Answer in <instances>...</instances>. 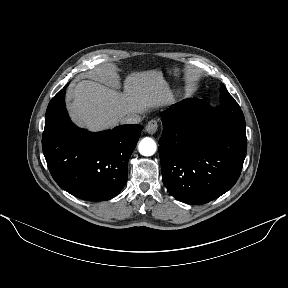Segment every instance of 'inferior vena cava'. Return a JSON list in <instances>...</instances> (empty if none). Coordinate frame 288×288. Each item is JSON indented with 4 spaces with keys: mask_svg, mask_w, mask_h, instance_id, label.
Instances as JSON below:
<instances>
[{
    "mask_svg": "<svg viewBox=\"0 0 288 288\" xmlns=\"http://www.w3.org/2000/svg\"><path fill=\"white\" fill-rule=\"evenodd\" d=\"M141 120V117L137 114L129 115L126 118L123 119V123L125 124H137Z\"/></svg>",
    "mask_w": 288,
    "mask_h": 288,
    "instance_id": "1",
    "label": "inferior vena cava"
}]
</instances>
